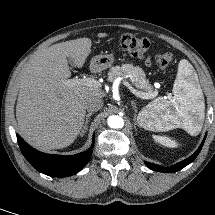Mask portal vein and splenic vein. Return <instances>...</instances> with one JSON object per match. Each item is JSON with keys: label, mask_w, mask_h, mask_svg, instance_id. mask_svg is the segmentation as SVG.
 I'll list each match as a JSON object with an SVG mask.
<instances>
[{"label": "portal vein and splenic vein", "mask_w": 215, "mask_h": 215, "mask_svg": "<svg viewBox=\"0 0 215 215\" xmlns=\"http://www.w3.org/2000/svg\"><path fill=\"white\" fill-rule=\"evenodd\" d=\"M65 84L70 87H73V86H87V87H92V88L101 87V84L97 80H95L93 78H87V77L68 79L65 81ZM124 84L127 87H129L131 92L139 98L151 99V98H154L156 95V93H144V92L138 91L135 88H133L128 82H124Z\"/></svg>", "instance_id": "portal-vein-and-splenic-vein-1"}]
</instances>
